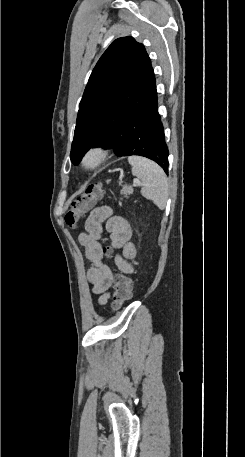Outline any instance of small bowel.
Wrapping results in <instances>:
<instances>
[{
	"instance_id": "obj_1",
	"label": "small bowel",
	"mask_w": 245,
	"mask_h": 457,
	"mask_svg": "<svg viewBox=\"0 0 245 457\" xmlns=\"http://www.w3.org/2000/svg\"><path fill=\"white\" fill-rule=\"evenodd\" d=\"M110 234L111 245L122 249V254L117 255L115 263L124 273H132L133 268L128 260L136 255L134 245L130 242L132 230L126 219L113 214L109 206L94 208L85 221V232L79 235V242L85 248L86 257L92 266L87 272V277L93 285V292L100 295L98 303L104 305L108 298V290L113 282V273L103 260V249L99 242L103 227Z\"/></svg>"
}]
</instances>
